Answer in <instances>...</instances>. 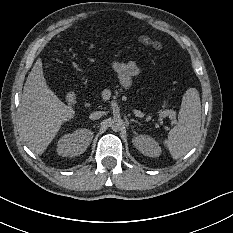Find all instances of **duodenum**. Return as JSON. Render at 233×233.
Wrapping results in <instances>:
<instances>
[{
  "instance_id": "1",
  "label": "duodenum",
  "mask_w": 233,
  "mask_h": 233,
  "mask_svg": "<svg viewBox=\"0 0 233 233\" xmlns=\"http://www.w3.org/2000/svg\"><path fill=\"white\" fill-rule=\"evenodd\" d=\"M77 98H78V92L75 90H72L68 92L66 96V101L69 105H74L77 101Z\"/></svg>"
}]
</instances>
